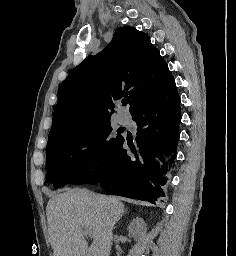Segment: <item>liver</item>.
Here are the masks:
<instances>
[{"label": "liver", "mask_w": 236, "mask_h": 256, "mask_svg": "<svg viewBox=\"0 0 236 256\" xmlns=\"http://www.w3.org/2000/svg\"><path fill=\"white\" fill-rule=\"evenodd\" d=\"M46 206L48 236L53 256H110L112 230L124 214L119 198L64 188ZM90 228L88 246L82 228Z\"/></svg>", "instance_id": "1"}]
</instances>
